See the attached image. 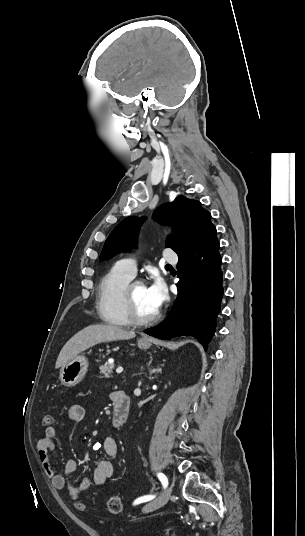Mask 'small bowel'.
I'll list each match as a JSON object with an SVG mask.
<instances>
[{"label":"small bowel","mask_w":305,"mask_h":536,"mask_svg":"<svg viewBox=\"0 0 305 536\" xmlns=\"http://www.w3.org/2000/svg\"><path fill=\"white\" fill-rule=\"evenodd\" d=\"M86 415V410L82 405H72L67 411V418L72 423H80ZM100 449L110 457L117 454V443L112 437H105L100 442ZM57 444V429L48 425L43 437L37 444V452L45 473L50 477L51 483L56 490H65L69 495H84L85 491L90 486V480L84 478L80 484L76 485L69 480L79 468V461L75 459L68 460L64 465V475L58 474L55 471L52 463V453L56 451ZM114 474V465L110 460L102 459L96 464L93 471V482L96 485H104Z\"/></svg>","instance_id":"1"}]
</instances>
